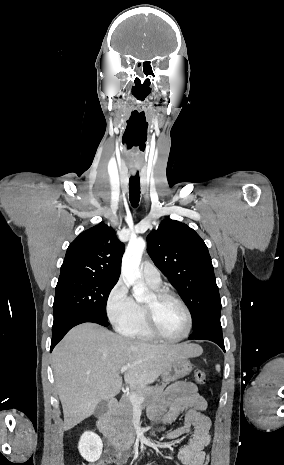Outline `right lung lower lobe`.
<instances>
[{
	"label": "right lung lower lobe",
	"instance_id": "obj_1",
	"mask_svg": "<svg viewBox=\"0 0 284 465\" xmlns=\"http://www.w3.org/2000/svg\"><path fill=\"white\" fill-rule=\"evenodd\" d=\"M85 322H93L100 324L102 326H108L109 323L106 319L101 318L97 315L92 314H75L68 316L61 320L58 323H53L52 328V341H51V349L56 346V344L65 336V334L74 326L85 323Z\"/></svg>",
	"mask_w": 284,
	"mask_h": 465
}]
</instances>
